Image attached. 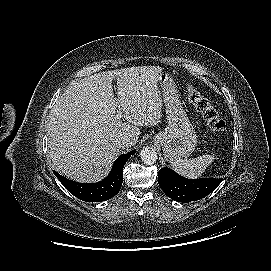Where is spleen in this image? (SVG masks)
Instances as JSON below:
<instances>
[{
	"label": "spleen",
	"mask_w": 271,
	"mask_h": 271,
	"mask_svg": "<svg viewBox=\"0 0 271 271\" xmlns=\"http://www.w3.org/2000/svg\"><path fill=\"white\" fill-rule=\"evenodd\" d=\"M214 159V155H202L192 159H177L171 162V166L182 176L189 179H196L202 176Z\"/></svg>",
	"instance_id": "1"
}]
</instances>
